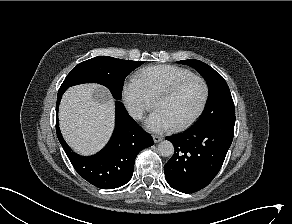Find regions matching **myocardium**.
<instances>
[{
    "instance_id": "1",
    "label": "myocardium",
    "mask_w": 292,
    "mask_h": 224,
    "mask_svg": "<svg viewBox=\"0 0 292 224\" xmlns=\"http://www.w3.org/2000/svg\"><path fill=\"white\" fill-rule=\"evenodd\" d=\"M191 81H198L202 84L203 87V98H202V102L199 106V108L197 109V111L192 115V117H190L187 121L176 125L173 127V129L175 131H183L187 128H189L190 126H192L203 114V112L205 111L208 101H209V96H210V90H209V85L207 83V81L198 75H191L185 78H182L178 81H176L175 83L171 84L170 86L166 87L165 89H163L156 97L155 99V107H157L158 103L161 100L170 98L172 96H174L178 91H180L184 86H186L188 83H190Z\"/></svg>"
}]
</instances>
